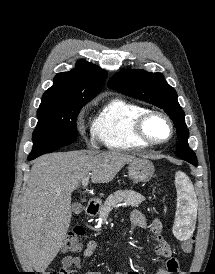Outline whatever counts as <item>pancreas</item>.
<instances>
[{
	"mask_svg": "<svg viewBox=\"0 0 215 274\" xmlns=\"http://www.w3.org/2000/svg\"><path fill=\"white\" fill-rule=\"evenodd\" d=\"M145 197L140 193L132 190H119L111 194L102 205L99 217L105 221L114 208H117L120 203L124 202L126 206L138 207Z\"/></svg>",
	"mask_w": 215,
	"mask_h": 274,
	"instance_id": "cf45deb5",
	"label": "pancreas"
}]
</instances>
